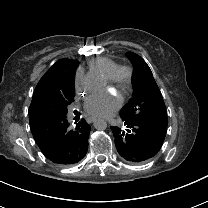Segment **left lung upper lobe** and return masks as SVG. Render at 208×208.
I'll list each match as a JSON object with an SVG mask.
<instances>
[{
  "mask_svg": "<svg viewBox=\"0 0 208 208\" xmlns=\"http://www.w3.org/2000/svg\"><path fill=\"white\" fill-rule=\"evenodd\" d=\"M126 55L135 67V75L133 96L129 103L121 109V114L141 119L167 131L165 103L149 66L133 52H128Z\"/></svg>",
  "mask_w": 208,
  "mask_h": 208,
  "instance_id": "left-lung-upper-lobe-1",
  "label": "left lung upper lobe"
}]
</instances>
